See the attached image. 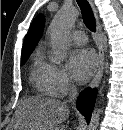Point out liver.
<instances>
[{
  "instance_id": "1",
  "label": "liver",
  "mask_w": 123,
  "mask_h": 130,
  "mask_svg": "<svg viewBox=\"0 0 123 130\" xmlns=\"http://www.w3.org/2000/svg\"><path fill=\"white\" fill-rule=\"evenodd\" d=\"M69 113L65 102L29 97L20 102L7 130H60Z\"/></svg>"
}]
</instances>
